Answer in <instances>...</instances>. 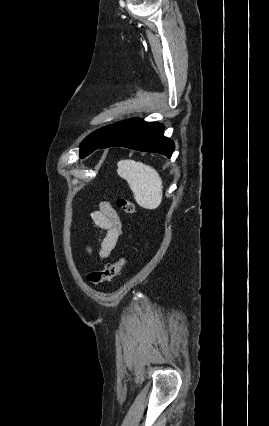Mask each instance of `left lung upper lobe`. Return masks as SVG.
Wrapping results in <instances>:
<instances>
[{"mask_svg": "<svg viewBox=\"0 0 269 426\" xmlns=\"http://www.w3.org/2000/svg\"><path fill=\"white\" fill-rule=\"evenodd\" d=\"M112 125L102 127L87 136L80 145V158L88 156L103 141Z\"/></svg>", "mask_w": 269, "mask_h": 426, "instance_id": "5c2ea615", "label": "left lung upper lobe"}]
</instances>
